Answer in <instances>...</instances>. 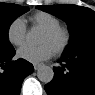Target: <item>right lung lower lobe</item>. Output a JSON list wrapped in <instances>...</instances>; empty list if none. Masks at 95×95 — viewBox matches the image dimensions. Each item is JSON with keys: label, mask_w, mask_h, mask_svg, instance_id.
I'll use <instances>...</instances> for the list:
<instances>
[{"label": "right lung lower lobe", "mask_w": 95, "mask_h": 95, "mask_svg": "<svg viewBox=\"0 0 95 95\" xmlns=\"http://www.w3.org/2000/svg\"><path fill=\"white\" fill-rule=\"evenodd\" d=\"M14 55L15 49L0 55V95H19L24 78L34 70L24 59L11 61Z\"/></svg>", "instance_id": "98d812e1"}]
</instances>
